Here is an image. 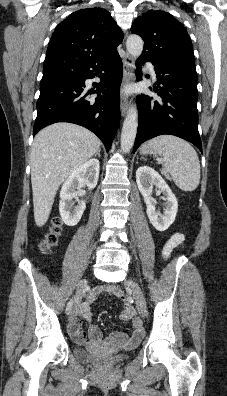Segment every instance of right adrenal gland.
Returning a JSON list of instances; mask_svg holds the SVG:
<instances>
[{
    "mask_svg": "<svg viewBox=\"0 0 227 396\" xmlns=\"http://www.w3.org/2000/svg\"><path fill=\"white\" fill-rule=\"evenodd\" d=\"M95 155L100 158V151H97Z\"/></svg>",
    "mask_w": 227,
    "mask_h": 396,
    "instance_id": "2a0ac1e0",
    "label": "right adrenal gland"
}]
</instances>
